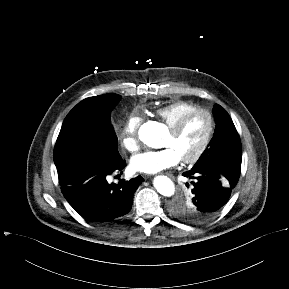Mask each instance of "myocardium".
I'll return each mask as SVG.
<instances>
[{"instance_id":"1","label":"myocardium","mask_w":289,"mask_h":289,"mask_svg":"<svg viewBox=\"0 0 289 289\" xmlns=\"http://www.w3.org/2000/svg\"><path fill=\"white\" fill-rule=\"evenodd\" d=\"M198 114H204L207 116L208 118V122H209V129L207 132V135L203 141V143L201 144V146L199 147V149L191 156L186 157V158H182L181 161L185 164H192L197 162L207 151L214 132H215V119L213 114L207 110V109H203V108H197L194 110H191L187 113H185L184 115H182L173 125H171L169 127V131L173 134V135H177L178 133L181 132V130L184 128V126L186 125V123L188 122V120Z\"/></svg>"}]
</instances>
